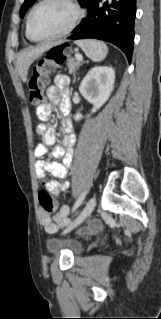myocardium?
Wrapping results in <instances>:
<instances>
[{"label":"myocardium","mask_w":161,"mask_h":319,"mask_svg":"<svg viewBox=\"0 0 161 319\" xmlns=\"http://www.w3.org/2000/svg\"><path fill=\"white\" fill-rule=\"evenodd\" d=\"M49 1L50 0H40L33 7V9L30 11V13L28 15L27 36L31 41L46 42V41H52V40H56V39H59L61 37H64L72 31V29L76 26L77 22L79 21V19L82 16V10H81L80 6L78 5V3L76 2V0H61L62 2L66 3L72 9L73 14H72V17H71L70 21L68 22V24L60 32H58L52 36L45 37V38H35L32 35V31H31L32 18L34 16L35 12L38 10V8Z\"/></svg>","instance_id":"f54148a6"}]
</instances>
